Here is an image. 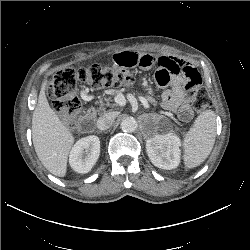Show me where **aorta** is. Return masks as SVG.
<instances>
[{
  "label": "aorta",
  "mask_w": 250,
  "mask_h": 250,
  "mask_svg": "<svg viewBox=\"0 0 250 250\" xmlns=\"http://www.w3.org/2000/svg\"><path fill=\"white\" fill-rule=\"evenodd\" d=\"M137 126V121L132 117H127L123 119L120 124L121 130L129 133L134 132L137 129Z\"/></svg>",
  "instance_id": "1"
}]
</instances>
